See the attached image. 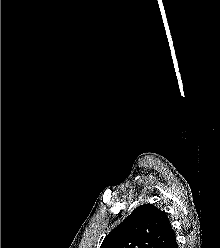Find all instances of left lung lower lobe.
Returning <instances> with one entry per match:
<instances>
[{
    "mask_svg": "<svg viewBox=\"0 0 220 248\" xmlns=\"http://www.w3.org/2000/svg\"><path fill=\"white\" fill-rule=\"evenodd\" d=\"M166 248H178V244L175 237L172 239V241L169 243V245Z\"/></svg>",
    "mask_w": 220,
    "mask_h": 248,
    "instance_id": "obj_1",
    "label": "left lung lower lobe"
}]
</instances>
